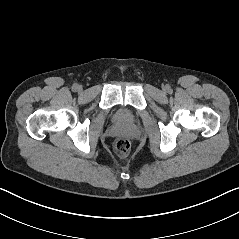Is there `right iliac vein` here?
Instances as JSON below:
<instances>
[{"label": "right iliac vein", "mask_w": 239, "mask_h": 239, "mask_svg": "<svg viewBox=\"0 0 239 239\" xmlns=\"http://www.w3.org/2000/svg\"><path fill=\"white\" fill-rule=\"evenodd\" d=\"M77 90H78V91H81V90H82V87H81V86H78Z\"/></svg>", "instance_id": "1"}]
</instances>
